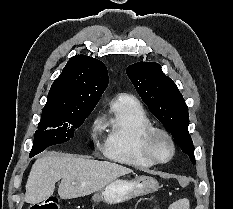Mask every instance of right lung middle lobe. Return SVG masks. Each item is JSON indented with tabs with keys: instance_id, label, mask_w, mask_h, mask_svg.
<instances>
[{
	"instance_id": "obj_1",
	"label": "right lung middle lobe",
	"mask_w": 233,
	"mask_h": 209,
	"mask_svg": "<svg viewBox=\"0 0 233 209\" xmlns=\"http://www.w3.org/2000/svg\"><path fill=\"white\" fill-rule=\"evenodd\" d=\"M95 106H82L59 114H42L35 132L30 157L49 146L61 144L73 138L76 130L83 124Z\"/></svg>"
}]
</instances>
